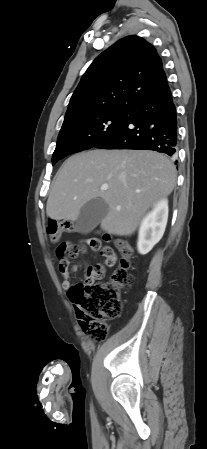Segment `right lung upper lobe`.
I'll return each instance as SVG.
<instances>
[{
  "instance_id": "right-lung-upper-lobe-1",
  "label": "right lung upper lobe",
  "mask_w": 207,
  "mask_h": 449,
  "mask_svg": "<svg viewBox=\"0 0 207 449\" xmlns=\"http://www.w3.org/2000/svg\"><path fill=\"white\" fill-rule=\"evenodd\" d=\"M169 91L156 49L141 37L128 36L102 52L86 70L65 120L102 109H135Z\"/></svg>"
}]
</instances>
